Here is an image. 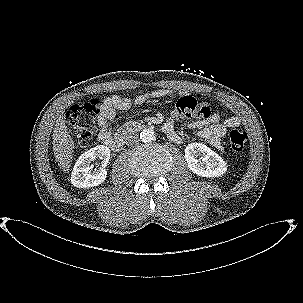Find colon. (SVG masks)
Wrapping results in <instances>:
<instances>
[{
	"label": "colon",
	"mask_w": 303,
	"mask_h": 303,
	"mask_svg": "<svg viewBox=\"0 0 303 303\" xmlns=\"http://www.w3.org/2000/svg\"><path fill=\"white\" fill-rule=\"evenodd\" d=\"M202 104L191 96H182L176 103L174 113L177 117L203 116ZM99 113V101L91 99L83 105H72L66 113V124L74 133L78 143L88 144L95 132V121ZM229 142L235 152L243 150L246 135L239 129H233L229 133Z\"/></svg>",
	"instance_id": "1"
}]
</instances>
